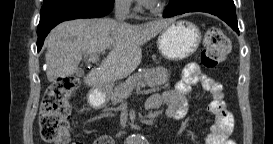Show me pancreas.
Returning <instances> with one entry per match:
<instances>
[{"label":"pancreas","instance_id":"1","mask_svg":"<svg viewBox=\"0 0 273 144\" xmlns=\"http://www.w3.org/2000/svg\"><path fill=\"white\" fill-rule=\"evenodd\" d=\"M168 70L164 67L144 68L141 72L130 76L124 83L116 86L111 93L113 103H121L125 101L133 89L140 87H157L168 82Z\"/></svg>","mask_w":273,"mask_h":144}]
</instances>
